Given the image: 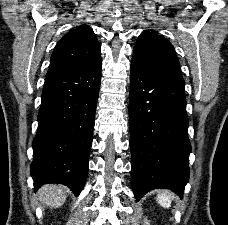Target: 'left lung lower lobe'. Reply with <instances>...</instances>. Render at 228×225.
<instances>
[{"label":"left lung lower lobe","mask_w":228,"mask_h":225,"mask_svg":"<svg viewBox=\"0 0 228 225\" xmlns=\"http://www.w3.org/2000/svg\"><path fill=\"white\" fill-rule=\"evenodd\" d=\"M188 117L183 78L130 67L131 184L138 199L168 188L180 197L189 180Z\"/></svg>","instance_id":"0a47b994"}]
</instances>
